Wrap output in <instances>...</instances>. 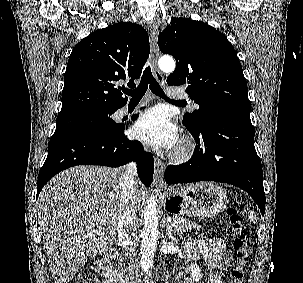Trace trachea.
Instances as JSON below:
<instances>
[{
	"label": "trachea",
	"instance_id": "3493384b",
	"mask_svg": "<svg viewBox=\"0 0 303 283\" xmlns=\"http://www.w3.org/2000/svg\"><path fill=\"white\" fill-rule=\"evenodd\" d=\"M148 87L152 91V93L167 101L174 103L184 102L180 100L179 101L171 100L168 97H166L164 91L162 90L156 79L153 77L150 66H147L145 68L138 87L134 90H126L125 93L131 96V101H140L142 97L145 95V92L147 91Z\"/></svg>",
	"mask_w": 303,
	"mask_h": 283
}]
</instances>
